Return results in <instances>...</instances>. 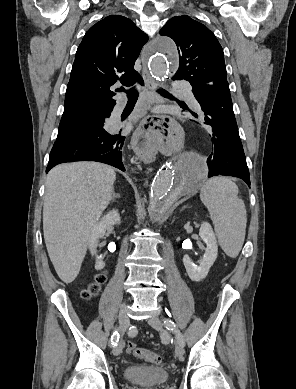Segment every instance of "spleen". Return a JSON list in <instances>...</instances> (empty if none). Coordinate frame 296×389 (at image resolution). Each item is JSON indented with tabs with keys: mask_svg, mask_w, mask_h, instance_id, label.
I'll use <instances>...</instances> for the list:
<instances>
[{
	"mask_svg": "<svg viewBox=\"0 0 296 389\" xmlns=\"http://www.w3.org/2000/svg\"><path fill=\"white\" fill-rule=\"evenodd\" d=\"M214 224L219 245L231 258L238 256L246 234V208L238 197V187L227 177H212L200 191Z\"/></svg>",
	"mask_w": 296,
	"mask_h": 389,
	"instance_id": "spleen-1",
	"label": "spleen"
}]
</instances>
